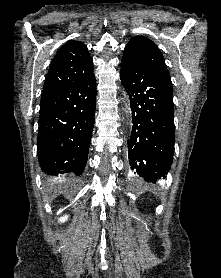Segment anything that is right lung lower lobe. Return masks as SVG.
I'll return each instance as SVG.
<instances>
[{"instance_id": "right-lung-lower-lobe-1", "label": "right lung lower lobe", "mask_w": 221, "mask_h": 278, "mask_svg": "<svg viewBox=\"0 0 221 278\" xmlns=\"http://www.w3.org/2000/svg\"><path fill=\"white\" fill-rule=\"evenodd\" d=\"M95 104L94 74L75 84L42 93L37 152L40 166L51 180L70 181L83 172Z\"/></svg>"}]
</instances>
